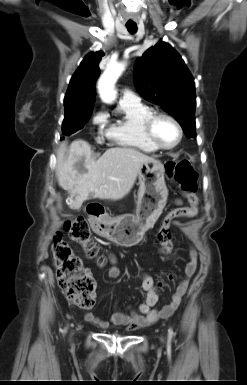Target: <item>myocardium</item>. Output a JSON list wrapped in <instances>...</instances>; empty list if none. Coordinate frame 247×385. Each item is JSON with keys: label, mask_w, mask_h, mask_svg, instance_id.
<instances>
[{"label": "myocardium", "mask_w": 247, "mask_h": 385, "mask_svg": "<svg viewBox=\"0 0 247 385\" xmlns=\"http://www.w3.org/2000/svg\"><path fill=\"white\" fill-rule=\"evenodd\" d=\"M160 118H165V119H168L170 120L177 128L178 130V134H179V137H178V140L176 141L175 144H173L172 146H164L162 145L156 138L155 136V133H154V125H155V122L160 119ZM143 128H144V132H145V135L147 136V138L149 139V141L157 148V149H160V150H173L175 149L182 141L183 139V135H184V132H183V128L180 124V122L172 115L168 114V113H165V112H152L150 115H148L146 117V119L144 120V124H143Z\"/></svg>", "instance_id": "1"}]
</instances>
